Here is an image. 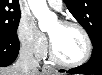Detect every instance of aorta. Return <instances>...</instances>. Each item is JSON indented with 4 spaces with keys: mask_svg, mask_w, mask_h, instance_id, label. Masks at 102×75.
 I'll return each instance as SVG.
<instances>
[{
    "mask_svg": "<svg viewBox=\"0 0 102 75\" xmlns=\"http://www.w3.org/2000/svg\"><path fill=\"white\" fill-rule=\"evenodd\" d=\"M28 4L42 31H46L57 21L56 15L49 11L46 0H28Z\"/></svg>",
    "mask_w": 102,
    "mask_h": 75,
    "instance_id": "762f6f07",
    "label": "aorta"
}]
</instances>
